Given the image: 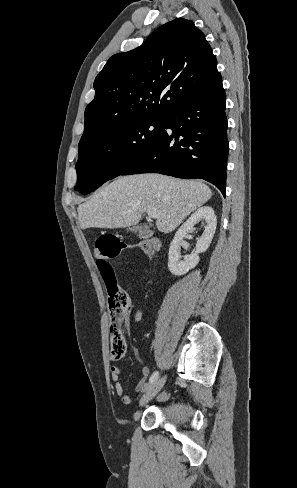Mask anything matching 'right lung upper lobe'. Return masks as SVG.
<instances>
[{
	"label": "right lung upper lobe",
	"instance_id": "obj_1",
	"mask_svg": "<svg viewBox=\"0 0 297 488\" xmlns=\"http://www.w3.org/2000/svg\"><path fill=\"white\" fill-rule=\"evenodd\" d=\"M220 79L202 31L191 20L170 21L141 46L109 58L94 81L81 139L94 140L147 117L166 118Z\"/></svg>",
	"mask_w": 297,
	"mask_h": 488
}]
</instances>
